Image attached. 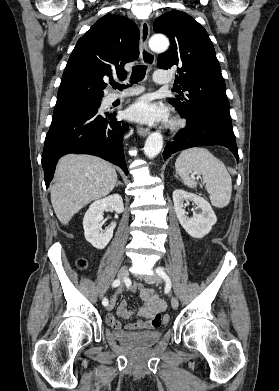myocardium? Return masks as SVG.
<instances>
[{
	"instance_id": "obj_1",
	"label": "myocardium",
	"mask_w": 279,
	"mask_h": 391,
	"mask_svg": "<svg viewBox=\"0 0 279 391\" xmlns=\"http://www.w3.org/2000/svg\"><path fill=\"white\" fill-rule=\"evenodd\" d=\"M184 125V122L181 120V119H173L170 123V127L171 129L175 130V129H179L181 128L182 126Z\"/></svg>"
}]
</instances>
